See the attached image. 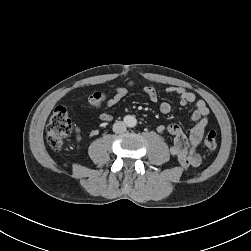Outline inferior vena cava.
I'll list each match as a JSON object with an SVG mask.
<instances>
[{
  "label": "inferior vena cava",
  "mask_w": 251,
  "mask_h": 251,
  "mask_svg": "<svg viewBox=\"0 0 251 251\" xmlns=\"http://www.w3.org/2000/svg\"><path fill=\"white\" fill-rule=\"evenodd\" d=\"M113 131L115 133H123L126 131V124L122 121H117L113 125Z\"/></svg>",
  "instance_id": "602c4592"
}]
</instances>
